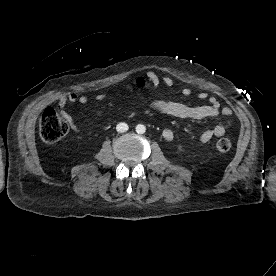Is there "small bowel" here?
I'll list each match as a JSON object with an SVG mask.
<instances>
[{"mask_svg":"<svg viewBox=\"0 0 276 276\" xmlns=\"http://www.w3.org/2000/svg\"><path fill=\"white\" fill-rule=\"evenodd\" d=\"M163 83L167 88L173 86V80L168 77H160L155 72H147L145 74L139 75L136 78V85L141 88H145L149 85L158 86ZM128 91L131 90V87L126 88ZM192 93L191 89L183 88L181 90V95L184 97L190 96ZM105 94H98L96 96L97 101H103L105 99ZM199 100H209V104L206 105H196L190 106L184 103L175 102V101H165V100H154L151 104V108L161 114H165L171 117L179 119H192V120H201L205 118H213L222 114L226 120L212 129H207L203 131L200 135V141L206 143L210 141L213 137L223 136L231 126L233 112L230 108L224 107L221 108L218 100L213 96H208L206 92H201L197 95ZM88 98L84 95H77L76 93H69L67 95H62L58 99V109L64 119L69 123L73 131H78V126L75 123L73 117L66 112L65 107L68 103H80L86 104ZM162 136L165 140L171 141L174 139V132L171 129H164Z\"/></svg>","mask_w":276,"mask_h":276,"instance_id":"obj_1","label":"small bowel"}]
</instances>
